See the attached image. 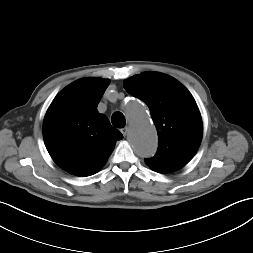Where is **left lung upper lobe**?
Segmentation results:
<instances>
[{"mask_svg":"<svg viewBox=\"0 0 253 253\" xmlns=\"http://www.w3.org/2000/svg\"><path fill=\"white\" fill-rule=\"evenodd\" d=\"M126 91L150 109L158 131L157 154L145 163L161 173L176 171L197 152L202 118L190 92L176 79L160 72H144L124 80Z\"/></svg>","mask_w":253,"mask_h":253,"instance_id":"5c2ea615","label":"left lung upper lobe"}]
</instances>
